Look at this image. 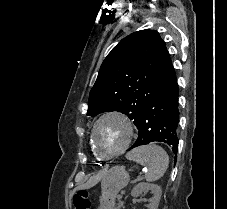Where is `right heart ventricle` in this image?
<instances>
[{"label":"right heart ventricle","instance_id":"1","mask_svg":"<svg viewBox=\"0 0 227 209\" xmlns=\"http://www.w3.org/2000/svg\"><path fill=\"white\" fill-rule=\"evenodd\" d=\"M90 148H91V151L93 152L94 156H95L97 159H99V158L96 156V154H95V152H94V150H93V148H92L91 142H90Z\"/></svg>","mask_w":227,"mask_h":209}]
</instances>
